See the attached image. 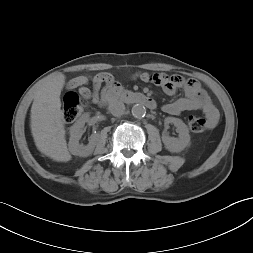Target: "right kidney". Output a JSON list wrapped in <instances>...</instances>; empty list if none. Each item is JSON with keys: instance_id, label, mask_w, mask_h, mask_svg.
Instances as JSON below:
<instances>
[{"instance_id": "obj_1", "label": "right kidney", "mask_w": 253, "mask_h": 253, "mask_svg": "<svg viewBox=\"0 0 253 253\" xmlns=\"http://www.w3.org/2000/svg\"><path fill=\"white\" fill-rule=\"evenodd\" d=\"M87 120H88V116H82L70 128V139H69L68 146H69V151L73 155H77L80 157H87L91 155L94 151L95 146L97 145L99 141V134L95 133L90 136L88 145L84 146V145L79 144V140L82 136L83 128Z\"/></svg>"}]
</instances>
